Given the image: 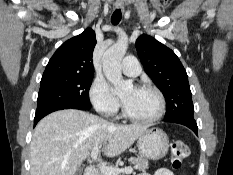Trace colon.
Here are the masks:
<instances>
[{
	"label": "colon",
	"instance_id": "1",
	"mask_svg": "<svg viewBox=\"0 0 233 175\" xmlns=\"http://www.w3.org/2000/svg\"><path fill=\"white\" fill-rule=\"evenodd\" d=\"M190 152L189 146L186 142L177 140L174 141L171 147V161L174 168H180L183 160Z\"/></svg>",
	"mask_w": 233,
	"mask_h": 175
}]
</instances>
